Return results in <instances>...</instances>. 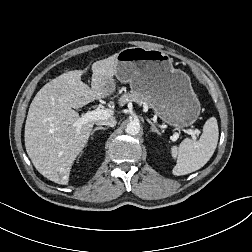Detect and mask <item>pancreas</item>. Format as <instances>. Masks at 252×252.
Here are the masks:
<instances>
[{
	"label": "pancreas",
	"mask_w": 252,
	"mask_h": 252,
	"mask_svg": "<svg viewBox=\"0 0 252 252\" xmlns=\"http://www.w3.org/2000/svg\"><path fill=\"white\" fill-rule=\"evenodd\" d=\"M128 102H136L139 105H144L145 104V100L137 93H126L124 95L121 96V98L119 99V104L125 105Z\"/></svg>",
	"instance_id": "1"
}]
</instances>
